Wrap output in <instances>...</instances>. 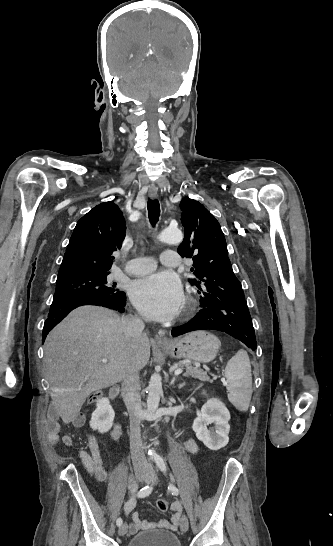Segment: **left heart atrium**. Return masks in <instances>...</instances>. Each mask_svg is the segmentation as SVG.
<instances>
[{"label":"left heart atrium","instance_id":"39dd6f15","mask_svg":"<svg viewBox=\"0 0 333 546\" xmlns=\"http://www.w3.org/2000/svg\"><path fill=\"white\" fill-rule=\"evenodd\" d=\"M130 296L146 316L166 321L176 316L183 304V291L178 278L168 272H158L135 280Z\"/></svg>","mask_w":333,"mask_h":546}]
</instances>
